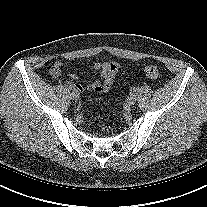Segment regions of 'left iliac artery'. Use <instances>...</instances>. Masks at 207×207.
<instances>
[{"label": "left iliac artery", "mask_w": 207, "mask_h": 207, "mask_svg": "<svg viewBox=\"0 0 207 207\" xmlns=\"http://www.w3.org/2000/svg\"><path fill=\"white\" fill-rule=\"evenodd\" d=\"M132 92H135L136 91V88L135 87H131L130 89Z\"/></svg>", "instance_id": "obj_1"}]
</instances>
